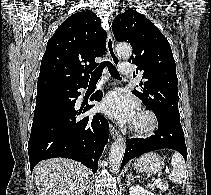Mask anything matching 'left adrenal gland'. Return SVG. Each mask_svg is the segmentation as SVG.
I'll return each instance as SVG.
<instances>
[{
  "instance_id": "left-adrenal-gland-1",
  "label": "left adrenal gland",
  "mask_w": 211,
  "mask_h": 195,
  "mask_svg": "<svg viewBox=\"0 0 211 195\" xmlns=\"http://www.w3.org/2000/svg\"><path fill=\"white\" fill-rule=\"evenodd\" d=\"M126 177H127V183H128V185L130 184V181H131V180H134V178H135V177H134L133 175H131V174H128Z\"/></svg>"
}]
</instances>
